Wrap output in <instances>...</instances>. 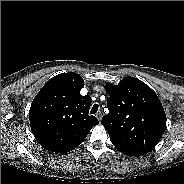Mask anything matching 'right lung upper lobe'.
I'll return each instance as SVG.
<instances>
[{
  "instance_id": "obj_1",
  "label": "right lung upper lobe",
  "mask_w": 184,
  "mask_h": 184,
  "mask_svg": "<svg viewBox=\"0 0 184 184\" xmlns=\"http://www.w3.org/2000/svg\"><path fill=\"white\" fill-rule=\"evenodd\" d=\"M82 77L62 73L51 78L34 98L29 119L32 133L48 151L66 153L83 142L99 121L89 116L91 98L82 96Z\"/></svg>"
}]
</instances>
